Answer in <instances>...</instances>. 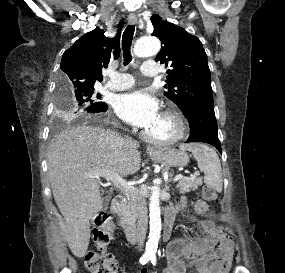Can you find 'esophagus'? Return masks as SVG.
<instances>
[{
  "instance_id": "obj_1",
  "label": "esophagus",
  "mask_w": 285,
  "mask_h": 273,
  "mask_svg": "<svg viewBox=\"0 0 285 273\" xmlns=\"http://www.w3.org/2000/svg\"><path fill=\"white\" fill-rule=\"evenodd\" d=\"M128 22L130 25H136L137 24V17L134 13H130L128 16ZM146 150L148 153H156V149L150 145L146 147Z\"/></svg>"
}]
</instances>
